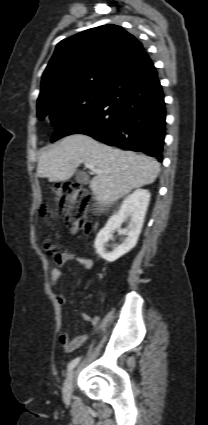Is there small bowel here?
Returning a JSON list of instances; mask_svg holds the SVG:
<instances>
[{
	"instance_id": "c3829d8e",
	"label": "small bowel",
	"mask_w": 208,
	"mask_h": 425,
	"mask_svg": "<svg viewBox=\"0 0 208 425\" xmlns=\"http://www.w3.org/2000/svg\"><path fill=\"white\" fill-rule=\"evenodd\" d=\"M70 261H75L86 269H91L93 267V261L89 258L77 256L76 254L68 251H64L56 259L57 264H65ZM51 282L53 285H56L61 278V270L58 267H54L50 273ZM56 299L59 305L64 306L66 304V299L62 294H56ZM83 317L85 320L89 321L92 324H96L99 320L97 316H92L88 313H84ZM86 340L85 335H81L75 338H71L69 334L65 331H62L59 336V342L67 352H72L79 348Z\"/></svg>"
}]
</instances>
